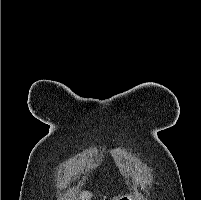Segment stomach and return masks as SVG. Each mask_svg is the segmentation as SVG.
Segmentation results:
<instances>
[{"instance_id":"1","label":"stomach","mask_w":201,"mask_h":200,"mask_svg":"<svg viewBox=\"0 0 201 200\" xmlns=\"http://www.w3.org/2000/svg\"><path fill=\"white\" fill-rule=\"evenodd\" d=\"M121 200H135V199L132 196L127 195V196L121 197Z\"/></svg>"}]
</instances>
